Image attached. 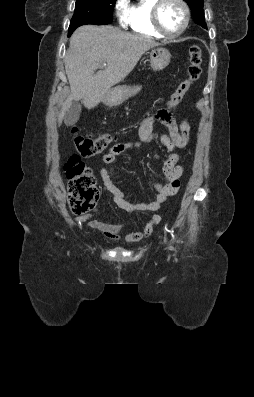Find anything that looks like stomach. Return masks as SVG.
Segmentation results:
<instances>
[{
    "mask_svg": "<svg viewBox=\"0 0 254 397\" xmlns=\"http://www.w3.org/2000/svg\"><path fill=\"white\" fill-rule=\"evenodd\" d=\"M171 54L165 48H154L150 52V65L154 71H161L170 63ZM140 85H124L110 89L104 96L103 102L114 106L123 103L141 90Z\"/></svg>",
    "mask_w": 254,
    "mask_h": 397,
    "instance_id": "obj_1",
    "label": "stomach"
}]
</instances>
